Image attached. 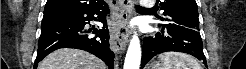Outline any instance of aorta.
Segmentation results:
<instances>
[{
    "label": "aorta",
    "instance_id": "1",
    "mask_svg": "<svg viewBox=\"0 0 246 69\" xmlns=\"http://www.w3.org/2000/svg\"><path fill=\"white\" fill-rule=\"evenodd\" d=\"M141 63V46L138 36L135 34L131 39L125 57L124 69H139Z\"/></svg>",
    "mask_w": 246,
    "mask_h": 69
}]
</instances>
